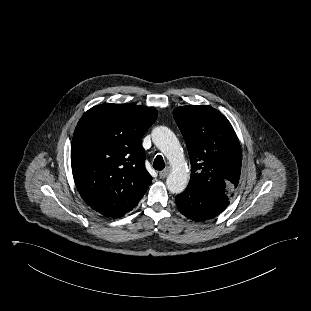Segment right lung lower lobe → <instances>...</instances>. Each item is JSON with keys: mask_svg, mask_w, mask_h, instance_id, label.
<instances>
[{"mask_svg": "<svg viewBox=\"0 0 311 311\" xmlns=\"http://www.w3.org/2000/svg\"><path fill=\"white\" fill-rule=\"evenodd\" d=\"M123 215H121V216H118V217H112V218H119V217H122Z\"/></svg>", "mask_w": 311, "mask_h": 311, "instance_id": "1", "label": "right lung lower lobe"}]
</instances>
